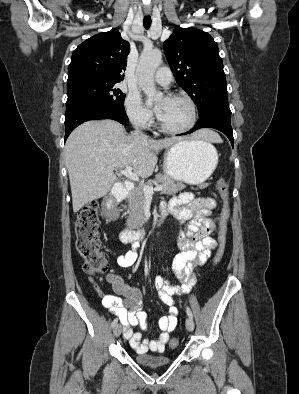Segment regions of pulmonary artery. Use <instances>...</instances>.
I'll list each match as a JSON object with an SVG mask.
<instances>
[{
    "instance_id": "e3ab8cb5",
    "label": "pulmonary artery",
    "mask_w": 299,
    "mask_h": 394,
    "mask_svg": "<svg viewBox=\"0 0 299 394\" xmlns=\"http://www.w3.org/2000/svg\"><path fill=\"white\" fill-rule=\"evenodd\" d=\"M156 82L161 86H168L172 81V74L169 68L161 67L155 75Z\"/></svg>"
}]
</instances>
